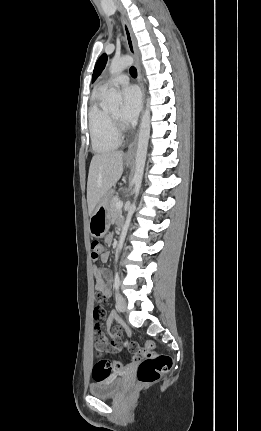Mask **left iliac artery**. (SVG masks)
Masks as SVG:
<instances>
[{
    "mask_svg": "<svg viewBox=\"0 0 261 431\" xmlns=\"http://www.w3.org/2000/svg\"><path fill=\"white\" fill-rule=\"evenodd\" d=\"M119 285H120V279H119V275H118V272H117L116 276H115V283H114V287H115L116 291H118Z\"/></svg>",
    "mask_w": 261,
    "mask_h": 431,
    "instance_id": "left-iliac-artery-1",
    "label": "left iliac artery"
}]
</instances>
